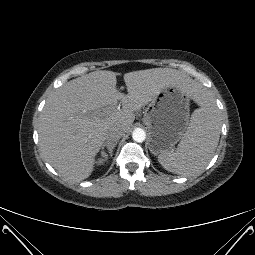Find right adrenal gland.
<instances>
[{"instance_id": "obj_1", "label": "right adrenal gland", "mask_w": 255, "mask_h": 255, "mask_svg": "<svg viewBox=\"0 0 255 255\" xmlns=\"http://www.w3.org/2000/svg\"><path fill=\"white\" fill-rule=\"evenodd\" d=\"M116 145H117V143H114V144H112V145L106 147L107 150H108V153H109L110 158H112V156H113V149L115 148ZM101 149H102V155H103L105 158H107V157H108V154L105 152L104 146H102Z\"/></svg>"}]
</instances>
